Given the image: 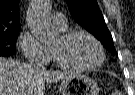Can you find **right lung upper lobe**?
Instances as JSON below:
<instances>
[{
  "instance_id": "cb5924a9",
  "label": "right lung upper lobe",
  "mask_w": 135,
  "mask_h": 95,
  "mask_svg": "<svg viewBox=\"0 0 135 95\" xmlns=\"http://www.w3.org/2000/svg\"><path fill=\"white\" fill-rule=\"evenodd\" d=\"M19 29V0H0V32H11Z\"/></svg>"
}]
</instances>
